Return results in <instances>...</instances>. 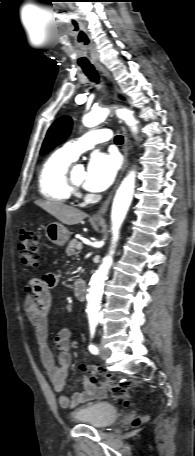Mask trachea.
I'll return each instance as SVG.
<instances>
[{
	"label": "trachea",
	"mask_w": 195,
	"mask_h": 456,
	"mask_svg": "<svg viewBox=\"0 0 195 456\" xmlns=\"http://www.w3.org/2000/svg\"><path fill=\"white\" fill-rule=\"evenodd\" d=\"M85 75L93 82H98L99 81V76L97 71L93 66H87V67H82ZM115 143L116 144H122L123 143V136L117 135L115 137Z\"/></svg>",
	"instance_id": "1"
}]
</instances>
